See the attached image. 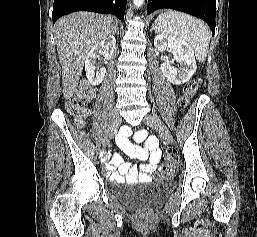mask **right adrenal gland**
Listing matches in <instances>:
<instances>
[{
  "label": "right adrenal gland",
  "mask_w": 257,
  "mask_h": 237,
  "mask_svg": "<svg viewBox=\"0 0 257 237\" xmlns=\"http://www.w3.org/2000/svg\"><path fill=\"white\" fill-rule=\"evenodd\" d=\"M116 33L118 34L119 33V29L117 28V31H116Z\"/></svg>",
  "instance_id": "obj_1"
}]
</instances>
